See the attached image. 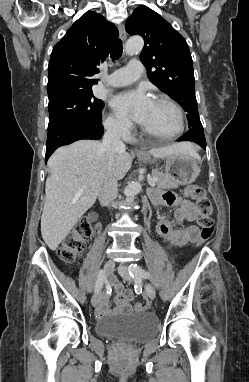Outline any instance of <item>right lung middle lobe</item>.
<instances>
[{"mask_svg": "<svg viewBox=\"0 0 249 382\" xmlns=\"http://www.w3.org/2000/svg\"><path fill=\"white\" fill-rule=\"evenodd\" d=\"M104 103L92 92L71 95L49 103L48 131L75 122L101 120Z\"/></svg>", "mask_w": 249, "mask_h": 382, "instance_id": "obj_1", "label": "right lung middle lobe"}]
</instances>
